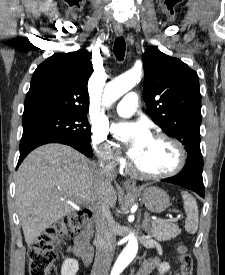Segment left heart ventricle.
Here are the masks:
<instances>
[{
    "label": "left heart ventricle",
    "instance_id": "1",
    "mask_svg": "<svg viewBox=\"0 0 225 275\" xmlns=\"http://www.w3.org/2000/svg\"><path fill=\"white\" fill-rule=\"evenodd\" d=\"M176 159V151L170 143L151 137L135 163L142 171L155 174L172 169Z\"/></svg>",
    "mask_w": 225,
    "mask_h": 275
}]
</instances>
